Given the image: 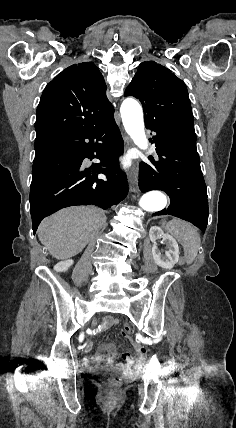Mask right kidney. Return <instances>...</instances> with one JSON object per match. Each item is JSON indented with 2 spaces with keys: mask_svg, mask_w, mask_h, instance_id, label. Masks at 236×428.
<instances>
[{
  "mask_svg": "<svg viewBox=\"0 0 236 428\" xmlns=\"http://www.w3.org/2000/svg\"><path fill=\"white\" fill-rule=\"evenodd\" d=\"M73 260H64V262H58L56 266H54L55 272H67L70 266H73Z\"/></svg>",
  "mask_w": 236,
  "mask_h": 428,
  "instance_id": "ca27d5eb",
  "label": "right kidney"
}]
</instances>
